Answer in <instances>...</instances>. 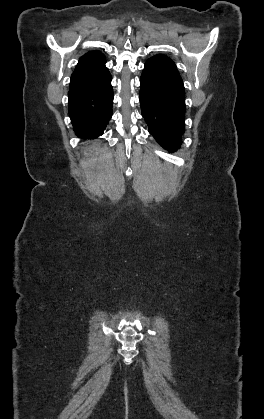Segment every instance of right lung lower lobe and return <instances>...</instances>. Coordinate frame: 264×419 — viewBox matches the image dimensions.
Returning <instances> with one entry per match:
<instances>
[{"mask_svg":"<svg viewBox=\"0 0 264 419\" xmlns=\"http://www.w3.org/2000/svg\"><path fill=\"white\" fill-rule=\"evenodd\" d=\"M69 116L78 137L102 135L112 116L113 90L109 71L91 84L70 85Z\"/></svg>","mask_w":264,"mask_h":419,"instance_id":"1","label":"right lung lower lobe"}]
</instances>
